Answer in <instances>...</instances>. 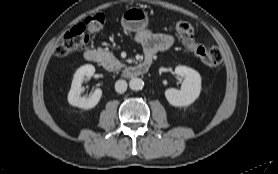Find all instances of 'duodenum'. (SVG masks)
I'll use <instances>...</instances> for the list:
<instances>
[{"label":"duodenum","mask_w":278,"mask_h":174,"mask_svg":"<svg viewBox=\"0 0 278 174\" xmlns=\"http://www.w3.org/2000/svg\"><path fill=\"white\" fill-rule=\"evenodd\" d=\"M84 57L87 61L94 63V62L98 61L99 53L97 50L88 49L85 51ZM151 63H152V59L149 57H146L144 60H142L138 64L126 68L124 71V74L129 78L143 75L149 70Z\"/></svg>","instance_id":"1"}]
</instances>
